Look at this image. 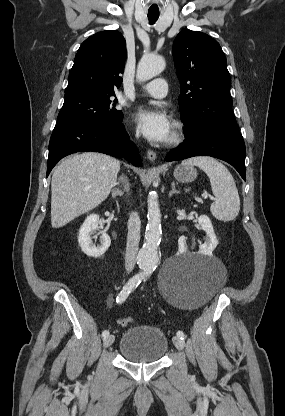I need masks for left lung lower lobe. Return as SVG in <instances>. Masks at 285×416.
I'll use <instances>...</instances> for the list:
<instances>
[{
	"mask_svg": "<svg viewBox=\"0 0 285 416\" xmlns=\"http://www.w3.org/2000/svg\"><path fill=\"white\" fill-rule=\"evenodd\" d=\"M183 144L173 149L165 161L194 156H212L231 164L246 180L245 143L236 121H219L185 135Z\"/></svg>",
	"mask_w": 285,
	"mask_h": 416,
	"instance_id": "0a47b994",
	"label": "left lung lower lobe"
}]
</instances>
